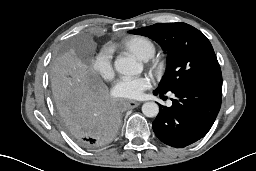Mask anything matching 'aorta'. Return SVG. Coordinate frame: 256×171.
Listing matches in <instances>:
<instances>
[{"instance_id":"762f6f07","label":"aorta","mask_w":256,"mask_h":171,"mask_svg":"<svg viewBox=\"0 0 256 171\" xmlns=\"http://www.w3.org/2000/svg\"><path fill=\"white\" fill-rule=\"evenodd\" d=\"M114 66L115 70L122 75H137L142 72V65L132 57H117ZM142 112L146 117H156L159 106L155 102H146L142 105Z\"/></svg>"}]
</instances>
